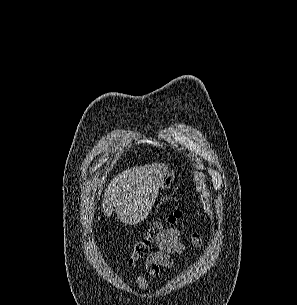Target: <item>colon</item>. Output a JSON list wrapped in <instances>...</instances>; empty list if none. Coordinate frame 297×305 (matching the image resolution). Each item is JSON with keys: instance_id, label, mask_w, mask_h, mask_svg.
<instances>
[{"instance_id": "obj_1", "label": "colon", "mask_w": 297, "mask_h": 305, "mask_svg": "<svg viewBox=\"0 0 297 305\" xmlns=\"http://www.w3.org/2000/svg\"><path fill=\"white\" fill-rule=\"evenodd\" d=\"M182 216L180 210L171 212L167 217L168 223H174ZM163 228L162 224H156L152 228L148 229L144 235L136 240L130 249L131 262L143 259L147 257L152 250V244L155 240L157 233Z\"/></svg>"}]
</instances>
